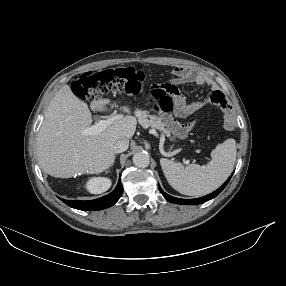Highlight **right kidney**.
I'll return each mask as SVG.
<instances>
[{"label": "right kidney", "mask_w": 286, "mask_h": 286, "mask_svg": "<svg viewBox=\"0 0 286 286\" xmlns=\"http://www.w3.org/2000/svg\"><path fill=\"white\" fill-rule=\"evenodd\" d=\"M111 187V180L108 178L95 177L86 183L87 190L92 194H100Z\"/></svg>", "instance_id": "obj_1"}]
</instances>
